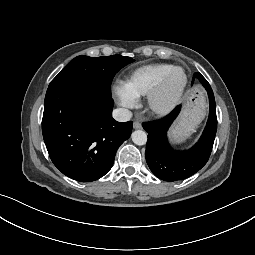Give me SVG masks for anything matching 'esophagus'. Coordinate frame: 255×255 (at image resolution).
I'll return each instance as SVG.
<instances>
[{"mask_svg":"<svg viewBox=\"0 0 255 255\" xmlns=\"http://www.w3.org/2000/svg\"><path fill=\"white\" fill-rule=\"evenodd\" d=\"M133 128H134V129H141V128H142V125H141V123H140L139 121H135V122L133 123Z\"/></svg>","mask_w":255,"mask_h":255,"instance_id":"obj_1","label":"esophagus"}]
</instances>
